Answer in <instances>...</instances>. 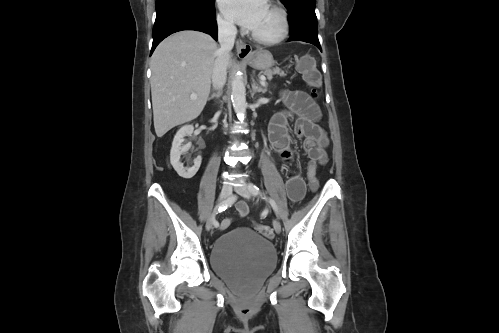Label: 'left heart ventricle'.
<instances>
[{"mask_svg":"<svg viewBox=\"0 0 499 333\" xmlns=\"http://www.w3.org/2000/svg\"><path fill=\"white\" fill-rule=\"evenodd\" d=\"M280 28L281 20L279 14L267 7L252 32L264 38H271L279 33Z\"/></svg>","mask_w":499,"mask_h":333,"instance_id":"b2bd125f","label":"left heart ventricle"}]
</instances>
